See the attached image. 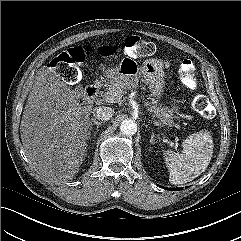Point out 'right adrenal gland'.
<instances>
[{
	"instance_id": "obj_1",
	"label": "right adrenal gland",
	"mask_w": 241,
	"mask_h": 241,
	"mask_svg": "<svg viewBox=\"0 0 241 241\" xmlns=\"http://www.w3.org/2000/svg\"><path fill=\"white\" fill-rule=\"evenodd\" d=\"M93 125H96V133H97V131H98V128H99V126H101L102 125V122H98L96 119H91L90 120V122H89V125H88V128H89V135H91V131H92V126ZM96 133L94 134V137L96 136Z\"/></svg>"
}]
</instances>
